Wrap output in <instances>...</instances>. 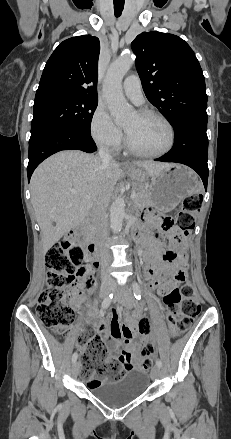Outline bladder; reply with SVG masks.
Masks as SVG:
<instances>
[{
    "label": "bladder",
    "mask_w": 231,
    "mask_h": 439,
    "mask_svg": "<svg viewBox=\"0 0 231 439\" xmlns=\"http://www.w3.org/2000/svg\"><path fill=\"white\" fill-rule=\"evenodd\" d=\"M150 378L145 369H128L122 379L90 387L89 392L106 405L117 408L139 398L148 388Z\"/></svg>",
    "instance_id": "obj_1"
}]
</instances>
